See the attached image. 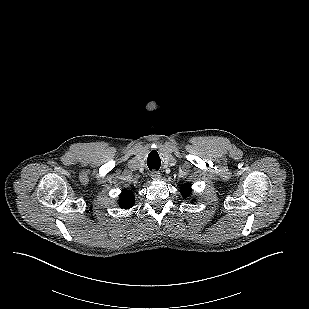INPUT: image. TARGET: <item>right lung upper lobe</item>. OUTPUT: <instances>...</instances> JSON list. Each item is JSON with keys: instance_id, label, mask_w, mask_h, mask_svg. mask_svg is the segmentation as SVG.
Masks as SVG:
<instances>
[{"instance_id": "obj_1", "label": "right lung upper lobe", "mask_w": 309, "mask_h": 309, "mask_svg": "<svg viewBox=\"0 0 309 309\" xmlns=\"http://www.w3.org/2000/svg\"><path fill=\"white\" fill-rule=\"evenodd\" d=\"M134 202V195L130 191L124 189L119 196V205L121 208L129 209L134 205Z\"/></svg>"}]
</instances>
